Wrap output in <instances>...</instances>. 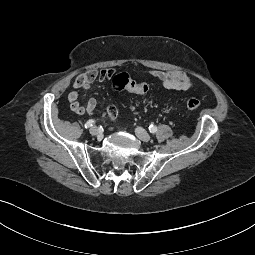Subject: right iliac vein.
<instances>
[{
  "label": "right iliac vein",
  "mask_w": 255,
  "mask_h": 255,
  "mask_svg": "<svg viewBox=\"0 0 255 255\" xmlns=\"http://www.w3.org/2000/svg\"><path fill=\"white\" fill-rule=\"evenodd\" d=\"M90 134L93 136H98L99 138H101L102 136L99 129L96 126L91 127Z\"/></svg>",
  "instance_id": "right-iliac-vein-1"
}]
</instances>
